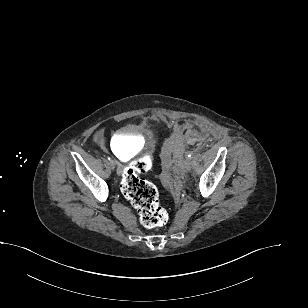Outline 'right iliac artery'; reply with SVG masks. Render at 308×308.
Masks as SVG:
<instances>
[{
    "instance_id": "right-iliac-artery-1",
    "label": "right iliac artery",
    "mask_w": 308,
    "mask_h": 308,
    "mask_svg": "<svg viewBox=\"0 0 308 308\" xmlns=\"http://www.w3.org/2000/svg\"><path fill=\"white\" fill-rule=\"evenodd\" d=\"M108 160H111V158H110V157H108Z\"/></svg>"
}]
</instances>
